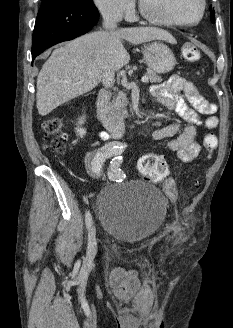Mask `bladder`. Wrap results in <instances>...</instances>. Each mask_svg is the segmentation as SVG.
<instances>
[{"instance_id": "31cf9c89", "label": "bladder", "mask_w": 233, "mask_h": 328, "mask_svg": "<svg viewBox=\"0 0 233 328\" xmlns=\"http://www.w3.org/2000/svg\"><path fill=\"white\" fill-rule=\"evenodd\" d=\"M97 216L102 230L128 243L155 233L167 214V200L155 187L141 182L114 183L97 198Z\"/></svg>"}]
</instances>
